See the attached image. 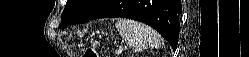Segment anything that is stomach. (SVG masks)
Here are the masks:
<instances>
[{"mask_svg":"<svg viewBox=\"0 0 249 57\" xmlns=\"http://www.w3.org/2000/svg\"><path fill=\"white\" fill-rule=\"evenodd\" d=\"M98 45H99V42L97 40L92 42V47L97 48Z\"/></svg>","mask_w":249,"mask_h":57,"instance_id":"0dacf381","label":"stomach"}]
</instances>
